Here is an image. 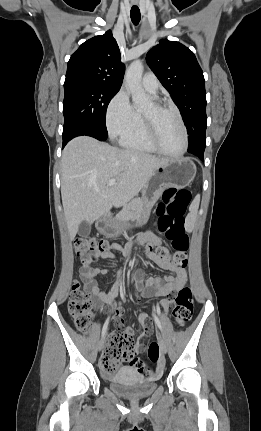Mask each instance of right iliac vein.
<instances>
[{
    "label": "right iliac vein",
    "instance_id": "right-iliac-vein-1",
    "mask_svg": "<svg viewBox=\"0 0 261 431\" xmlns=\"http://www.w3.org/2000/svg\"><path fill=\"white\" fill-rule=\"evenodd\" d=\"M103 345H104V339H102V340L99 342V345H98V350H99V351H100V350H102Z\"/></svg>",
    "mask_w": 261,
    "mask_h": 431
}]
</instances>
